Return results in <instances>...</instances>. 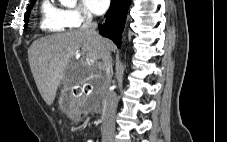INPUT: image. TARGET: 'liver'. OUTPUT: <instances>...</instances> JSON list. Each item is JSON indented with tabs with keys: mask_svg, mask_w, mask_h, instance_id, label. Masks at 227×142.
Instances as JSON below:
<instances>
[{
	"mask_svg": "<svg viewBox=\"0 0 227 142\" xmlns=\"http://www.w3.org/2000/svg\"><path fill=\"white\" fill-rule=\"evenodd\" d=\"M114 47L109 39L101 37L97 40L81 29L35 40L28 49L29 65L46 104L52 105L57 89L65 78V71L80 49L86 55L85 74L76 80L85 82L95 74L102 51L110 52Z\"/></svg>",
	"mask_w": 227,
	"mask_h": 142,
	"instance_id": "6515ba94",
	"label": "liver"
}]
</instances>
